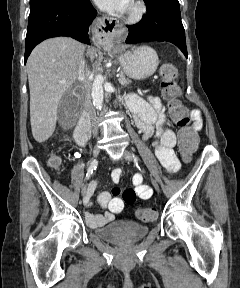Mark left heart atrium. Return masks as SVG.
<instances>
[{
    "instance_id": "1",
    "label": "left heart atrium",
    "mask_w": 240,
    "mask_h": 288,
    "mask_svg": "<svg viewBox=\"0 0 240 288\" xmlns=\"http://www.w3.org/2000/svg\"><path fill=\"white\" fill-rule=\"evenodd\" d=\"M94 2L105 11L121 13L129 8L131 0H94Z\"/></svg>"
}]
</instances>
